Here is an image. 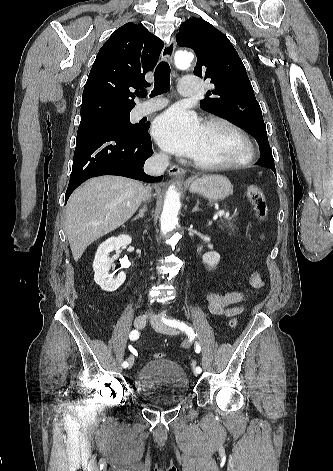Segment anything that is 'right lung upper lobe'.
Masks as SVG:
<instances>
[{"mask_svg":"<svg viewBox=\"0 0 333 471\" xmlns=\"http://www.w3.org/2000/svg\"><path fill=\"white\" fill-rule=\"evenodd\" d=\"M164 43L143 25L118 28L99 50L84 87L81 120L134 108L133 90L147 86L145 74L159 58Z\"/></svg>","mask_w":333,"mask_h":471,"instance_id":"cb5924a9","label":"right lung upper lobe"}]
</instances>
